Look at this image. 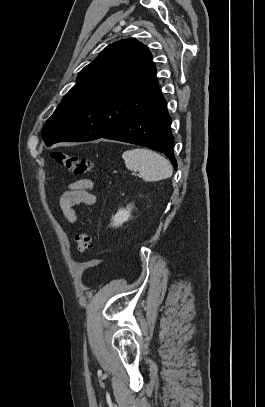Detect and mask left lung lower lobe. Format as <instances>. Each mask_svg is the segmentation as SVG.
Returning a JSON list of instances; mask_svg holds the SVG:
<instances>
[{"instance_id":"0a47b994","label":"left lung lower lobe","mask_w":265,"mask_h":407,"mask_svg":"<svg viewBox=\"0 0 265 407\" xmlns=\"http://www.w3.org/2000/svg\"><path fill=\"white\" fill-rule=\"evenodd\" d=\"M171 117L162 96L154 105L130 118L102 138L146 146L163 152L177 168L173 152Z\"/></svg>"}]
</instances>
